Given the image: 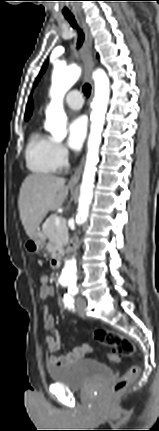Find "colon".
Here are the masks:
<instances>
[{
    "mask_svg": "<svg viewBox=\"0 0 159 431\" xmlns=\"http://www.w3.org/2000/svg\"><path fill=\"white\" fill-rule=\"evenodd\" d=\"M48 286L49 296L55 297V283L51 282ZM94 337L99 343L113 349V352L109 354V362L111 363V366H116L117 361L121 360L124 357L132 356L135 351V347L132 340L116 331L108 329H97L94 332ZM138 374V367H129L124 373V375L119 378L112 386L110 392L111 396L117 397L121 395L127 389V387L137 378Z\"/></svg>",
    "mask_w": 159,
    "mask_h": 431,
    "instance_id": "5ec220e1",
    "label": "colon"
}]
</instances>
